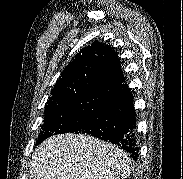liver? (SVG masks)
Returning a JSON list of instances; mask_svg holds the SVG:
<instances>
[{"label": "liver", "mask_w": 183, "mask_h": 179, "mask_svg": "<svg viewBox=\"0 0 183 179\" xmlns=\"http://www.w3.org/2000/svg\"><path fill=\"white\" fill-rule=\"evenodd\" d=\"M133 167L123 150L84 134H59L32 155L29 179H124Z\"/></svg>", "instance_id": "obj_1"}]
</instances>
